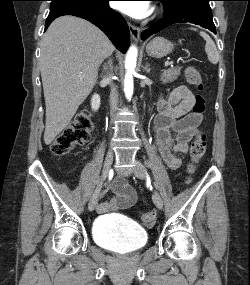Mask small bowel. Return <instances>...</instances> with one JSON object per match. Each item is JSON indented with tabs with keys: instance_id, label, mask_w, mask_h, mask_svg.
Returning a JSON list of instances; mask_svg holds the SVG:
<instances>
[{
	"instance_id": "small-bowel-1",
	"label": "small bowel",
	"mask_w": 250,
	"mask_h": 285,
	"mask_svg": "<svg viewBox=\"0 0 250 285\" xmlns=\"http://www.w3.org/2000/svg\"><path fill=\"white\" fill-rule=\"evenodd\" d=\"M194 103L195 96L185 86L158 100L155 142L162 159L172 169L181 165L179 155L187 153L189 142L199 134L202 115L191 112ZM111 190L115 196L100 202L96 208L98 213L128 208L136 201V192L124 178L114 180Z\"/></svg>"
}]
</instances>
